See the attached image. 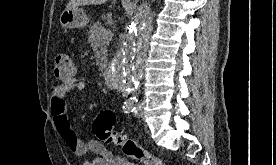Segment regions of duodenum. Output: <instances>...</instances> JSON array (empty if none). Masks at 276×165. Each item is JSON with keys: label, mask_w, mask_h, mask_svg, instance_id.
Wrapping results in <instances>:
<instances>
[{"label": "duodenum", "mask_w": 276, "mask_h": 165, "mask_svg": "<svg viewBox=\"0 0 276 165\" xmlns=\"http://www.w3.org/2000/svg\"><path fill=\"white\" fill-rule=\"evenodd\" d=\"M104 77H105L106 83L109 86H112L113 85V81H112L111 73L108 70H106L104 72Z\"/></svg>", "instance_id": "1"}]
</instances>
